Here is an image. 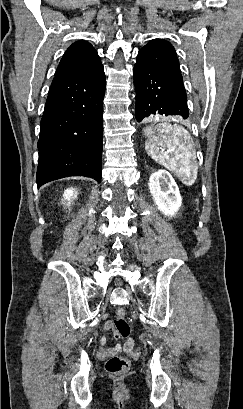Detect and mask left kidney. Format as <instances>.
<instances>
[{
	"mask_svg": "<svg viewBox=\"0 0 243 409\" xmlns=\"http://www.w3.org/2000/svg\"><path fill=\"white\" fill-rule=\"evenodd\" d=\"M148 186L158 209L165 216H174L181 206L182 199L171 174L165 170L152 173Z\"/></svg>",
	"mask_w": 243,
	"mask_h": 409,
	"instance_id": "left-kidney-1",
	"label": "left kidney"
}]
</instances>
